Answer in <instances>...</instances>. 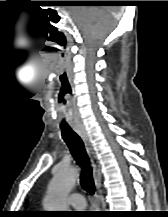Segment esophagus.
Here are the masks:
<instances>
[{
  "mask_svg": "<svg viewBox=\"0 0 168 217\" xmlns=\"http://www.w3.org/2000/svg\"><path fill=\"white\" fill-rule=\"evenodd\" d=\"M73 129L83 140V143L85 145V149H86L87 154H88L90 161H91V165H92V169H93L94 182H95V185H96L98 192H100L101 178H102L101 168H100L99 161H98V159L95 155V152L93 150V146L90 142L88 133H87L83 124H77V125L73 126ZM96 198H97V201L99 202V195L98 194H96Z\"/></svg>",
  "mask_w": 168,
  "mask_h": 217,
  "instance_id": "esophagus-1",
  "label": "esophagus"
}]
</instances>
